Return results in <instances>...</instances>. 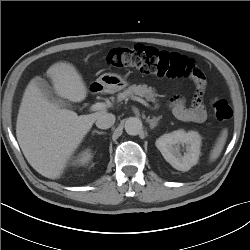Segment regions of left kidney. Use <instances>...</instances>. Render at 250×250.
<instances>
[{"label": "left kidney", "mask_w": 250, "mask_h": 250, "mask_svg": "<svg viewBox=\"0 0 250 250\" xmlns=\"http://www.w3.org/2000/svg\"><path fill=\"white\" fill-rule=\"evenodd\" d=\"M155 145L173 168L188 171L198 163L201 136L196 131L176 130L159 137ZM180 145L186 146L183 155L180 153Z\"/></svg>", "instance_id": "left-kidney-1"}]
</instances>
